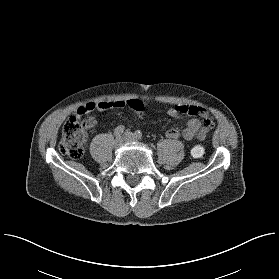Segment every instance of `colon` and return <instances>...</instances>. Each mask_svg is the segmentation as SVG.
I'll return each mask as SVG.
<instances>
[{
	"label": "colon",
	"mask_w": 279,
	"mask_h": 279,
	"mask_svg": "<svg viewBox=\"0 0 279 279\" xmlns=\"http://www.w3.org/2000/svg\"><path fill=\"white\" fill-rule=\"evenodd\" d=\"M125 105L134 111H139L142 108L140 100H129ZM96 124L97 121L93 117L80 119L79 117L72 116L68 118L62 127V136L59 144L60 152L74 160L82 158L84 155V142ZM190 152L193 157H202L204 155V148L201 145H195L191 148Z\"/></svg>",
	"instance_id": "colon-1"
}]
</instances>
